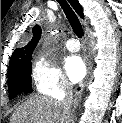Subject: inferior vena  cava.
<instances>
[{"label":"inferior vena cava","instance_id":"602c4592","mask_svg":"<svg viewBox=\"0 0 122 123\" xmlns=\"http://www.w3.org/2000/svg\"><path fill=\"white\" fill-rule=\"evenodd\" d=\"M65 89H64V98H62L59 101V104L62 107L63 114L68 115L71 114V106H72V100H73V88L69 83H65Z\"/></svg>","mask_w":122,"mask_h":123}]
</instances>
